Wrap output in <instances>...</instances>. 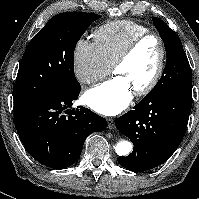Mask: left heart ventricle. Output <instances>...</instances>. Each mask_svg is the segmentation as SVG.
Returning a JSON list of instances; mask_svg holds the SVG:
<instances>
[{
	"label": "left heart ventricle",
	"instance_id": "left-heart-ventricle-1",
	"mask_svg": "<svg viewBox=\"0 0 199 199\" xmlns=\"http://www.w3.org/2000/svg\"><path fill=\"white\" fill-rule=\"evenodd\" d=\"M159 60V45L154 38L143 41L132 56L115 71L132 91L143 87L153 76Z\"/></svg>",
	"mask_w": 199,
	"mask_h": 199
}]
</instances>
